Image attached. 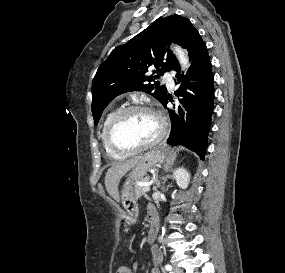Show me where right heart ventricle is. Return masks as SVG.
<instances>
[{
	"label": "right heart ventricle",
	"mask_w": 285,
	"mask_h": 273,
	"mask_svg": "<svg viewBox=\"0 0 285 273\" xmlns=\"http://www.w3.org/2000/svg\"><path fill=\"white\" fill-rule=\"evenodd\" d=\"M116 112H117V109H111L105 114L103 121H102V124H101V128H100V138H101L102 146H103V148H104V150L108 156L115 158V159H122L125 157L126 154H122V153H119V152L113 150L109 146V144L107 143V140H106L107 126H108L111 118L113 117V115Z\"/></svg>",
	"instance_id": "right-heart-ventricle-1"
}]
</instances>
